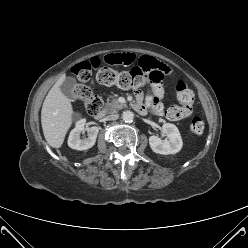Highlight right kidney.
I'll return each instance as SVG.
<instances>
[{
  "label": "right kidney",
  "mask_w": 248,
  "mask_h": 248,
  "mask_svg": "<svg viewBox=\"0 0 248 248\" xmlns=\"http://www.w3.org/2000/svg\"><path fill=\"white\" fill-rule=\"evenodd\" d=\"M85 122V119H78L76 126L70 132L68 138V146L70 148L82 151L94 146L99 132V128L96 126L85 128ZM85 130H87L88 132V138L81 140L80 134Z\"/></svg>",
  "instance_id": "obj_1"
}]
</instances>
